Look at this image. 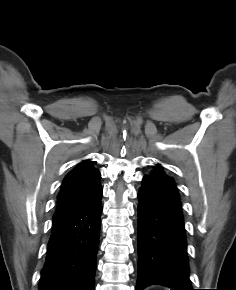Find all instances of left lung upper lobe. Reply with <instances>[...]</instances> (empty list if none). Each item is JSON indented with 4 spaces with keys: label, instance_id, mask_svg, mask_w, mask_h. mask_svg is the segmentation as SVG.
I'll list each match as a JSON object with an SVG mask.
<instances>
[{
    "label": "left lung upper lobe",
    "instance_id": "5c2ea615",
    "mask_svg": "<svg viewBox=\"0 0 236 290\" xmlns=\"http://www.w3.org/2000/svg\"><path fill=\"white\" fill-rule=\"evenodd\" d=\"M152 175H156V176H160V177H164V178H167V179L172 180V178L168 177V176L165 174V172H164V170H163V167L160 166V165H156V166L154 167V170H153V172H152Z\"/></svg>",
    "mask_w": 236,
    "mask_h": 290
}]
</instances>
